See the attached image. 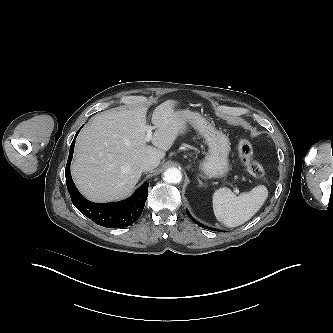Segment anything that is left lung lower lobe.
Masks as SVG:
<instances>
[{"instance_id": "obj_1", "label": "left lung lower lobe", "mask_w": 333, "mask_h": 333, "mask_svg": "<svg viewBox=\"0 0 333 333\" xmlns=\"http://www.w3.org/2000/svg\"><path fill=\"white\" fill-rule=\"evenodd\" d=\"M188 213V212H187ZM188 216L190 217V219L194 222V223H196L198 226H201V227H204V228H206V229H210V230H214V229H212V228H210V227H206V226H204V225H201V223H199V222H197L189 213H188Z\"/></svg>"}]
</instances>
